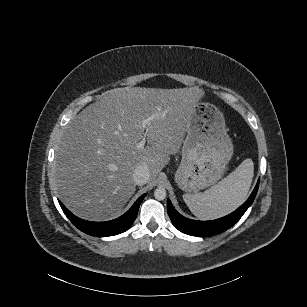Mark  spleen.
Returning <instances> with one entry per match:
<instances>
[{
	"instance_id": "3e777b00",
	"label": "spleen",
	"mask_w": 307,
	"mask_h": 307,
	"mask_svg": "<svg viewBox=\"0 0 307 307\" xmlns=\"http://www.w3.org/2000/svg\"><path fill=\"white\" fill-rule=\"evenodd\" d=\"M254 177V162L247 158L228 176L204 193L184 194L192 213L201 220H216L229 215L246 200Z\"/></svg>"
}]
</instances>
